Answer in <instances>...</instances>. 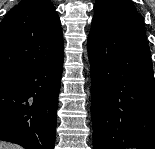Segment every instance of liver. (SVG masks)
Masks as SVG:
<instances>
[{"mask_svg": "<svg viewBox=\"0 0 155 149\" xmlns=\"http://www.w3.org/2000/svg\"><path fill=\"white\" fill-rule=\"evenodd\" d=\"M0 149H22L19 145L0 141Z\"/></svg>", "mask_w": 155, "mask_h": 149, "instance_id": "liver-1", "label": "liver"}]
</instances>
